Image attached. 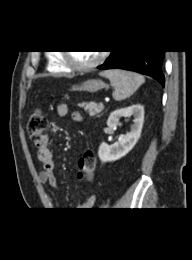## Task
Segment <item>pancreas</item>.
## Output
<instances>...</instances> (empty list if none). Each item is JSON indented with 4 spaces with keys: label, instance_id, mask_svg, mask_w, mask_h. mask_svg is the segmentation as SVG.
Listing matches in <instances>:
<instances>
[{
    "label": "pancreas",
    "instance_id": "pancreas-1",
    "mask_svg": "<svg viewBox=\"0 0 192 260\" xmlns=\"http://www.w3.org/2000/svg\"><path fill=\"white\" fill-rule=\"evenodd\" d=\"M80 107L84 108V110L89 113L90 116H95L103 111L104 107H100L94 102H84L78 104Z\"/></svg>",
    "mask_w": 192,
    "mask_h": 260
}]
</instances>
